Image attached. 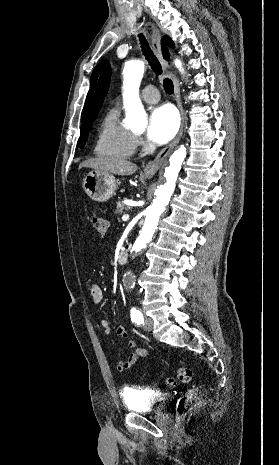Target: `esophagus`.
Segmentation results:
<instances>
[{"instance_id": "obj_1", "label": "esophagus", "mask_w": 279, "mask_h": 465, "mask_svg": "<svg viewBox=\"0 0 279 465\" xmlns=\"http://www.w3.org/2000/svg\"><path fill=\"white\" fill-rule=\"evenodd\" d=\"M150 39H151L152 48H153L157 58L161 62L163 69L168 73L169 77L173 81L175 99H176L177 106H178V108L180 110V113H181V120L182 121H181L180 130H179L177 136L175 137V139L170 144H168L166 147H164L157 154V156L145 166L144 174L146 176H148V177L154 176L157 173V171L160 169V167L162 166V164L166 160L167 156L172 152L174 147L180 141V138H181L182 133H183V128H184V111H183L181 98H180L179 82H178L177 78L173 74L169 73V71H168V63L163 58V55H162L161 34H160L159 30L155 26L151 27Z\"/></svg>"}]
</instances>
